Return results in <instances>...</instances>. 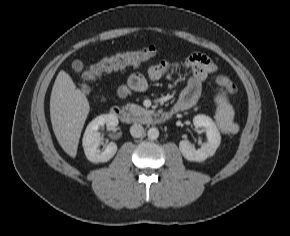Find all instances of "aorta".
Returning <instances> with one entry per match:
<instances>
[{
	"label": "aorta",
	"instance_id": "762f6f07",
	"mask_svg": "<svg viewBox=\"0 0 290 236\" xmlns=\"http://www.w3.org/2000/svg\"><path fill=\"white\" fill-rule=\"evenodd\" d=\"M147 136L150 140H156L159 137V130L155 127H152L148 130Z\"/></svg>",
	"mask_w": 290,
	"mask_h": 236
}]
</instances>
